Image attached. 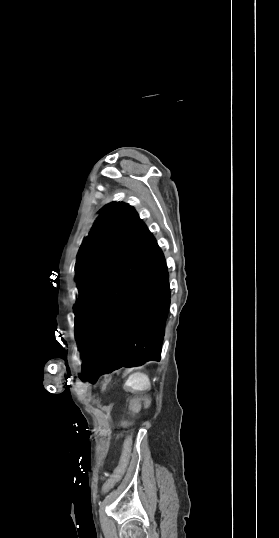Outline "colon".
<instances>
[{
  "label": "colon",
  "mask_w": 279,
  "mask_h": 538,
  "mask_svg": "<svg viewBox=\"0 0 279 538\" xmlns=\"http://www.w3.org/2000/svg\"><path fill=\"white\" fill-rule=\"evenodd\" d=\"M138 407H139L138 399H133L130 404V412L135 413L138 410ZM122 425L124 426L127 425V422L124 421ZM132 447H133V436L129 435L126 437L123 443L121 456H120L117 467L115 468L113 473L109 476V478L107 479V481L105 482L103 486L104 493L110 492L114 488V486L122 479L130 461Z\"/></svg>",
  "instance_id": "1"
}]
</instances>
